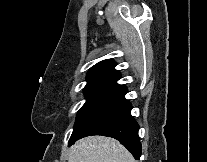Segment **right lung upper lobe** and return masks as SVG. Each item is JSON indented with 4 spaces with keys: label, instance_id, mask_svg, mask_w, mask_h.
I'll list each match as a JSON object with an SVG mask.
<instances>
[{
    "label": "right lung upper lobe",
    "instance_id": "1",
    "mask_svg": "<svg viewBox=\"0 0 207 162\" xmlns=\"http://www.w3.org/2000/svg\"><path fill=\"white\" fill-rule=\"evenodd\" d=\"M115 63L111 60H104L94 65L88 72L87 85L85 88L91 87H109L119 88L117 80L120 73L114 69Z\"/></svg>",
    "mask_w": 207,
    "mask_h": 162
}]
</instances>
